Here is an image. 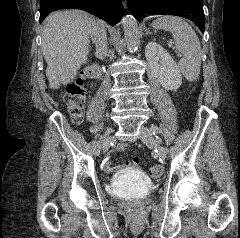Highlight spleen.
Returning a JSON list of instances; mask_svg holds the SVG:
<instances>
[{
	"label": "spleen",
	"instance_id": "obj_1",
	"mask_svg": "<svg viewBox=\"0 0 240 238\" xmlns=\"http://www.w3.org/2000/svg\"><path fill=\"white\" fill-rule=\"evenodd\" d=\"M153 27L172 33L176 49L183 54L178 63L179 69L188 81L197 80L201 68V46L192 27L183 19L174 16L157 18L153 22Z\"/></svg>",
	"mask_w": 240,
	"mask_h": 238
}]
</instances>
